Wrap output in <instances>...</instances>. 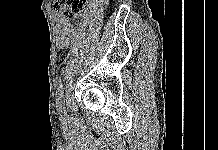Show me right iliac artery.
Returning <instances> with one entry per match:
<instances>
[{
  "label": "right iliac artery",
  "instance_id": "1",
  "mask_svg": "<svg viewBox=\"0 0 218 150\" xmlns=\"http://www.w3.org/2000/svg\"><path fill=\"white\" fill-rule=\"evenodd\" d=\"M63 86L62 84H60L57 88V91H56V103H57V107L60 110H64V107H63Z\"/></svg>",
  "mask_w": 218,
  "mask_h": 150
}]
</instances>
